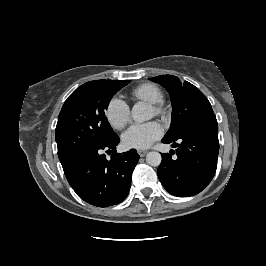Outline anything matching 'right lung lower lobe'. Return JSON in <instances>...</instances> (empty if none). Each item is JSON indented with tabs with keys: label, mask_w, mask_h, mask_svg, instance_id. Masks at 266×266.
Returning <instances> with one entry per match:
<instances>
[{
	"label": "right lung lower lobe",
	"mask_w": 266,
	"mask_h": 266,
	"mask_svg": "<svg viewBox=\"0 0 266 266\" xmlns=\"http://www.w3.org/2000/svg\"><path fill=\"white\" fill-rule=\"evenodd\" d=\"M119 137L91 151L81 152L62 164L65 176L76 194L89 204L108 207L128 195L132 172L139 160L135 149L116 153ZM112 151L106 159L102 150Z\"/></svg>",
	"instance_id": "obj_1"
}]
</instances>
